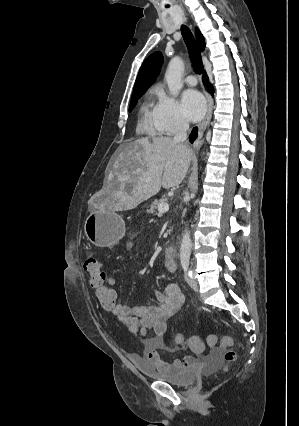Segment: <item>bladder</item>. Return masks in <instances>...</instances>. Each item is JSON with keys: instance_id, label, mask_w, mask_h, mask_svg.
<instances>
[{"instance_id": "bladder-1", "label": "bladder", "mask_w": 299, "mask_h": 426, "mask_svg": "<svg viewBox=\"0 0 299 426\" xmlns=\"http://www.w3.org/2000/svg\"><path fill=\"white\" fill-rule=\"evenodd\" d=\"M142 373L155 381L166 382L178 387H188L194 383L197 373L190 367L167 366L158 368L142 359L135 361Z\"/></svg>"}]
</instances>
